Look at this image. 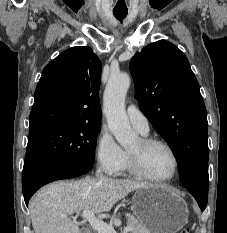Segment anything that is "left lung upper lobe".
Listing matches in <instances>:
<instances>
[{
    "label": "left lung upper lobe",
    "instance_id": "1",
    "mask_svg": "<svg viewBox=\"0 0 227 233\" xmlns=\"http://www.w3.org/2000/svg\"><path fill=\"white\" fill-rule=\"evenodd\" d=\"M130 70L140 109L169 144L182 185L207 196V112L188 59L175 45L160 40L136 53Z\"/></svg>",
    "mask_w": 227,
    "mask_h": 233
}]
</instances>
